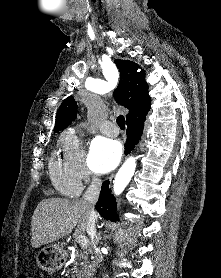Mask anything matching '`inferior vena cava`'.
I'll return each mask as SVG.
<instances>
[{"instance_id":"602c4592","label":"inferior vena cava","mask_w":221,"mask_h":278,"mask_svg":"<svg viewBox=\"0 0 221 278\" xmlns=\"http://www.w3.org/2000/svg\"><path fill=\"white\" fill-rule=\"evenodd\" d=\"M101 188V180L97 176L92 177V182L87 188L86 192L83 195L84 200L88 203L89 207V218L87 222L86 232L91 239L92 245L98 243L96 236V221L97 215L94 210V204L97 202ZM102 262V256L99 253L95 254V263L100 265ZM103 278H107V274H103Z\"/></svg>"}]
</instances>
